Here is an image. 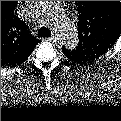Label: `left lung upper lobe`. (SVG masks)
<instances>
[{
	"instance_id": "5c2ea615",
	"label": "left lung upper lobe",
	"mask_w": 121,
	"mask_h": 121,
	"mask_svg": "<svg viewBox=\"0 0 121 121\" xmlns=\"http://www.w3.org/2000/svg\"><path fill=\"white\" fill-rule=\"evenodd\" d=\"M80 7L79 37H89L86 49L106 52L121 31V13L107 2L78 1ZM120 29V30H119ZM84 43V45H86ZM65 50V48H63Z\"/></svg>"
}]
</instances>
